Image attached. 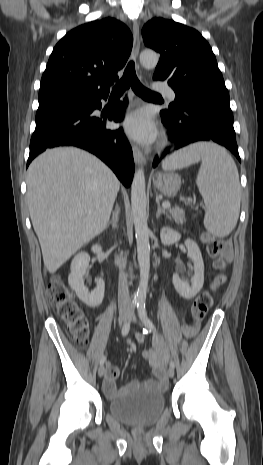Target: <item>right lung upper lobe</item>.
<instances>
[{
	"label": "right lung upper lobe",
	"mask_w": 263,
	"mask_h": 465,
	"mask_svg": "<svg viewBox=\"0 0 263 465\" xmlns=\"http://www.w3.org/2000/svg\"><path fill=\"white\" fill-rule=\"evenodd\" d=\"M132 44L130 30L113 18L71 30L53 49L41 79L39 101L108 95Z\"/></svg>",
	"instance_id": "1"
}]
</instances>
